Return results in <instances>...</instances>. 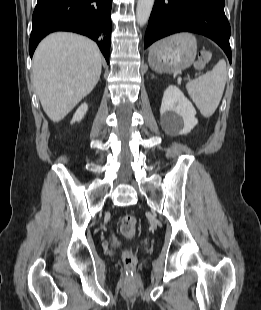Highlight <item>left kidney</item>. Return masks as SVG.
<instances>
[{
  "label": "left kidney",
  "mask_w": 261,
  "mask_h": 310,
  "mask_svg": "<svg viewBox=\"0 0 261 310\" xmlns=\"http://www.w3.org/2000/svg\"><path fill=\"white\" fill-rule=\"evenodd\" d=\"M196 110L175 85H169L160 107L162 127L171 133L188 134L197 124Z\"/></svg>",
  "instance_id": "obj_1"
}]
</instances>
